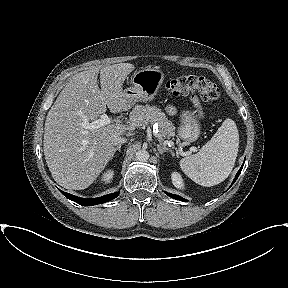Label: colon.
<instances>
[{"label": "colon", "instance_id": "obj_1", "mask_svg": "<svg viewBox=\"0 0 288 288\" xmlns=\"http://www.w3.org/2000/svg\"><path fill=\"white\" fill-rule=\"evenodd\" d=\"M165 89L173 96L197 92L206 101H216L220 97V90L214 82L194 74L183 75L168 81Z\"/></svg>", "mask_w": 288, "mask_h": 288}]
</instances>
